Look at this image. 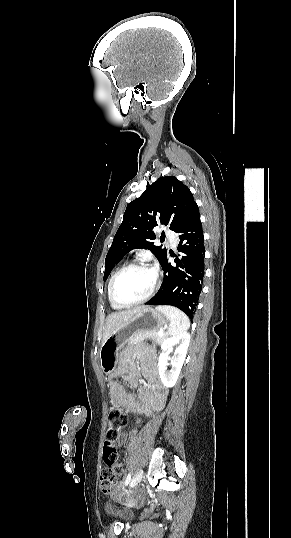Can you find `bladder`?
Listing matches in <instances>:
<instances>
[{
	"label": "bladder",
	"mask_w": 291,
	"mask_h": 538,
	"mask_svg": "<svg viewBox=\"0 0 291 538\" xmlns=\"http://www.w3.org/2000/svg\"><path fill=\"white\" fill-rule=\"evenodd\" d=\"M118 516H119V518H120L121 520H127V519L129 518V516H130V513H128V512H125V513H119Z\"/></svg>",
	"instance_id": "1"
}]
</instances>
